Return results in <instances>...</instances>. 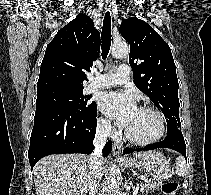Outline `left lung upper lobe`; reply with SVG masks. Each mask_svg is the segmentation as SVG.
<instances>
[{"label":"left lung upper lobe","instance_id":"obj_1","mask_svg":"<svg viewBox=\"0 0 211 195\" xmlns=\"http://www.w3.org/2000/svg\"><path fill=\"white\" fill-rule=\"evenodd\" d=\"M119 31L130 44L129 64L135 85L164 114L168 132L180 129L178 79L168 44L146 22L123 19Z\"/></svg>","mask_w":211,"mask_h":195}]
</instances>
